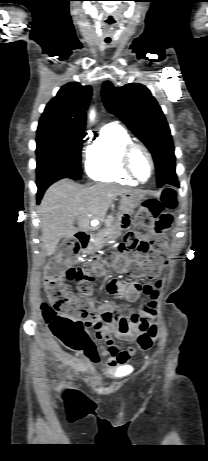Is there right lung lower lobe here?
I'll use <instances>...</instances> for the list:
<instances>
[{
	"mask_svg": "<svg viewBox=\"0 0 208 461\" xmlns=\"http://www.w3.org/2000/svg\"><path fill=\"white\" fill-rule=\"evenodd\" d=\"M63 178H66L64 176H58V177H54V178H51L49 180H46L45 182H43L42 184H39L37 185L38 187V192H37V202L39 203L41 198H42V195L43 193L45 192V190L54 182L60 180V179H63Z\"/></svg>",
	"mask_w": 208,
	"mask_h": 461,
	"instance_id": "98d812e1",
	"label": "right lung lower lobe"
}]
</instances>
